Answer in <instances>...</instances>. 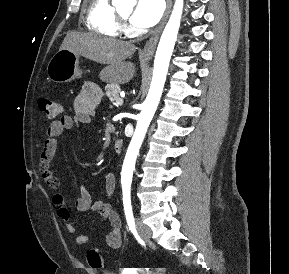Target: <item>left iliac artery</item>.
<instances>
[{
	"mask_svg": "<svg viewBox=\"0 0 289 274\" xmlns=\"http://www.w3.org/2000/svg\"><path fill=\"white\" fill-rule=\"evenodd\" d=\"M123 205H124V212L127 220V224L131 232H136L135 228V221L132 211L131 205V195H130V188L124 187L123 188Z\"/></svg>",
	"mask_w": 289,
	"mask_h": 274,
	"instance_id": "1",
	"label": "left iliac artery"
}]
</instances>
